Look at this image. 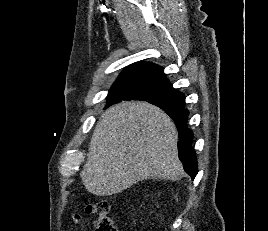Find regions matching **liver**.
I'll return each instance as SVG.
<instances>
[{
  "instance_id": "6515ba94",
  "label": "liver",
  "mask_w": 268,
  "mask_h": 231,
  "mask_svg": "<svg viewBox=\"0 0 268 231\" xmlns=\"http://www.w3.org/2000/svg\"><path fill=\"white\" fill-rule=\"evenodd\" d=\"M177 143L175 124L160 108L141 101L114 105L95 126L80 173L85 189L110 196L150 178L179 180Z\"/></svg>"
}]
</instances>
